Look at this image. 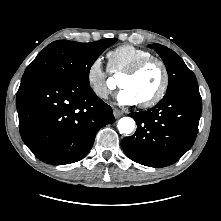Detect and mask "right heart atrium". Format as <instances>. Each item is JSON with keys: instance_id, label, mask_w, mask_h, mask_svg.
<instances>
[{"instance_id": "1", "label": "right heart atrium", "mask_w": 221, "mask_h": 221, "mask_svg": "<svg viewBox=\"0 0 221 221\" xmlns=\"http://www.w3.org/2000/svg\"><path fill=\"white\" fill-rule=\"evenodd\" d=\"M86 82L91 92L99 99H107L113 92L109 85V70L104 68L103 59L98 56L88 65Z\"/></svg>"}]
</instances>
